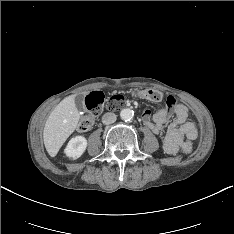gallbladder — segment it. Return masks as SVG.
Here are the masks:
<instances>
[{
    "label": "gallbladder",
    "instance_id": "gallbladder-1",
    "mask_svg": "<svg viewBox=\"0 0 234 234\" xmlns=\"http://www.w3.org/2000/svg\"><path fill=\"white\" fill-rule=\"evenodd\" d=\"M75 105L79 110L84 109V97L83 95H76L75 96Z\"/></svg>",
    "mask_w": 234,
    "mask_h": 234
}]
</instances>
